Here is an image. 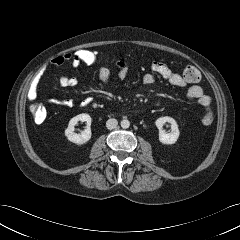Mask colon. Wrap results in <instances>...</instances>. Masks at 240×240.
Segmentation results:
<instances>
[{"label": "colon", "mask_w": 240, "mask_h": 240, "mask_svg": "<svg viewBox=\"0 0 240 240\" xmlns=\"http://www.w3.org/2000/svg\"><path fill=\"white\" fill-rule=\"evenodd\" d=\"M71 64L74 67L80 65H94L105 64L108 59L104 58L100 53L88 48L78 49L72 53H68ZM118 61H116L117 64ZM183 76L189 83H196L200 80V72L194 66L188 65L183 70ZM30 113L37 123H41L46 118V109L40 103H33L30 105ZM213 121V114L210 109H206L201 115V122L204 125H209Z\"/></svg>", "instance_id": "5ec220e1"}]
</instances>
